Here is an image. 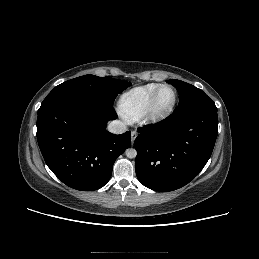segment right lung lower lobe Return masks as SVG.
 <instances>
[{
  "label": "right lung lower lobe",
  "instance_id": "obj_1",
  "mask_svg": "<svg viewBox=\"0 0 259 259\" xmlns=\"http://www.w3.org/2000/svg\"><path fill=\"white\" fill-rule=\"evenodd\" d=\"M116 118L112 107L82 97H63L41 106L37 141L47 166L71 188L103 187L115 160L131 143L130 131H106L107 122Z\"/></svg>",
  "mask_w": 259,
  "mask_h": 259
}]
</instances>
